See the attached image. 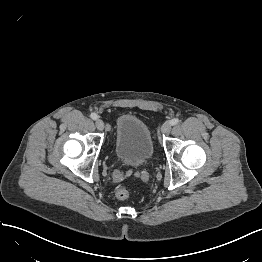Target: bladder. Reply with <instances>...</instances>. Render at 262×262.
<instances>
[{
    "label": "bladder",
    "mask_w": 262,
    "mask_h": 262,
    "mask_svg": "<svg viewBox=\"0 0 262 262\" xmlns=\"http://www.w3.org/2000/svg\"><path fill=\"white\" fill-rule=\"evenodd\" d=\"M154 145L147 125L138 117L121 116L115 129V152L123 163L144 164L153 154Z\"/></svg>",
    "instance_id": "1"
}]
</instances>
